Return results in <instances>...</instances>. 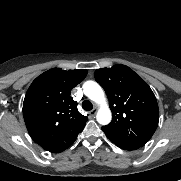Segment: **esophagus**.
Instances as JSON below:
<instances>
[{
  "mask_svg": "<svg viewBox=\"0 0 181 181\" xmlns=\"http://www.w3.org/2000/svg\"><path fill=\"white\" fill-rule=\"evenodd\" d=\"M96 113H97V109L94 108L93 110H91V111L89 112V115H90L91 117H94V116L96 115Z\"/></svg>",
  "mask_w": 181,
  "mask_h": 181,
  "instance_id": "esophagus-1",
  "label": "esophagus"
}]
</instances>
